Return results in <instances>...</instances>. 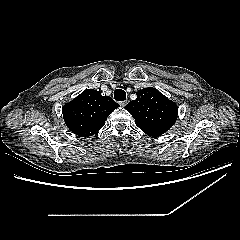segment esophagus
<instances>
[{"mask_svg": "<svg viewBox=\"0 0 240 240\" xmlns=\"http://www.w3.org/2000/svg\"><path fill=\"white\" fill-rule=\"evenodd\" d=\"M126 104H127V101H121V102H120V106H121V107H125Z\"/></svg>", "mask_w": 240, "mask_h": 240, "instance_id": "obj_1", "label": "esophagus"}]
</instances>
